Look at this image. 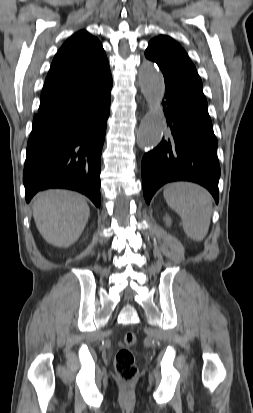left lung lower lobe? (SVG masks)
Wrapping results in <instances>:
<instances>
[{
	"label": "left lung lower lobe",
	"mask_w": 253,
	"mask_h": 413,
	"mask_svg": "<svg viewBox=\"0 0 253 413\" xmlns=\"http://www.w3.org/2000/svg\"><path fill=\"white\" fill-rule=\"evenodd\" d=\"M163 74L166 89L162 105L169 131L142 159L145 200L149 204L155 192L168 182L192 181L207 188L218 203V144L202 83L182 75Z\"/></svg>",
	"instance_id": "0a47b994"
}]
</instances>
